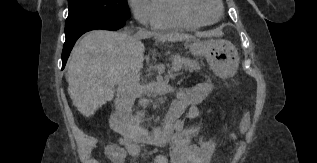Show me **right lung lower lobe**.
<instances>
[{
    "label": "right lung lower lobe",
    "mask_w": 317,
    "mask_h": 163,
    "mask_svg": "<svg viewBox=\"0 0 317 163\" xmlns=\"http://www.w3.org/2000/svg\"><path fill=\"white\" fill-rule=\"evenodd\" d=\"M125 24L124 20L116 19H104L99 20L84 27H81L71 33L66 34V41L64 43L63 52H62V69H64L69 54L76 42V40L85 32L94 30V29H106V30H118L123 27Z\"/></svg>",
    "instance_id": "98d812e1"
}]
</instances>
